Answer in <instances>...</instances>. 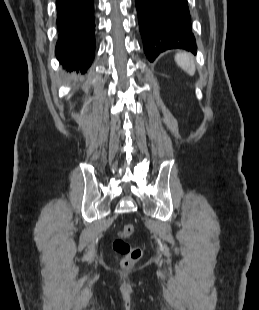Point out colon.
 I'll list each match as a JSON object with an SVG mask.
<instances>
[{"mask_svg": "<svg viewBox=\"0 0 259 310\" xmlns=\"http://www.w3.org/2000/svg\"><path fill=\"white\" fill-rule=\"evenodd\" d=\"M134 232L132 224H124L112 242L113 250L122 256L121 265L124 268L132 267L142 256V249L128 243L129 238Z\"/></svg>", "mask_w": 259, "mask_h": 310, "instance_id": "obj_1", "label": "colon"}]
</instances>
